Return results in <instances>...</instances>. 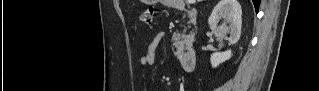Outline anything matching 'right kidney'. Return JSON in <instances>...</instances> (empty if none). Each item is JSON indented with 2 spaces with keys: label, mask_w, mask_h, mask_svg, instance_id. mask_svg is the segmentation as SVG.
I'll list each match as a JSON object with an SVG mask.
<instances>
[{
  "label": "right kidney",
  "mask_w": 319,
  "mask_h": 91,
  "mask_svg": "<svg viewBox=\"0 0 319 91\" xmlns=\"http://www.w3.org/2000/svg\"><path fill=\"white\" fill-rule=\"evenodd\" d=\"M242 9L237 0H220L214 7L209 19L208 24L210 29L215 32V35L219 38H225L227 34L229 37L226 39L235 44L241 33L242 25ZM223 19V24L218 26L220 19ZM232 56L231 51L223 53H214L211 55L210 61L212 67H217L222 62L230 59Z\"/></svg>",
  "instance_id": "1"
}]
</instances>
